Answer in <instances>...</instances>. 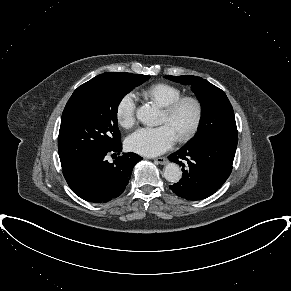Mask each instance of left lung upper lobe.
I'll return each instance as SVG.
<instances>
[{
    "label": "left lung upper lobe",
    "mask_w": 291,
    "mask_h": 291,
    "mask_svg": "<svg viewBox=\"0 0 291 291\" xmlns=\"http://www.w3.org/2000/svg\"><path fill=\"white\" fill-rule=\"evenodd\" d=\"M166 78L191 85L202 105V118L195 137L187 144H197L219 134L237 135L234 111L226 94L201 77L192 75L165 76Z\"/></svg>",
    "instance_id": "5c2ea615"
}]
</instances>
